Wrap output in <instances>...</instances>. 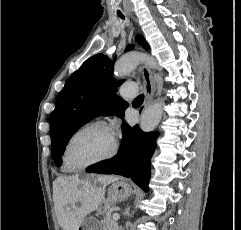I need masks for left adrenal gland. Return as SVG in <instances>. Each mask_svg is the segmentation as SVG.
Masks as SVG:
<instances>
[{
  "label": "left adrenal gland",
  "instance_id": "1",
  "mask_svg": "<svg viewBox=\"0 0 241 230\" xmlns=\"http://www.w3.org/2000/svg\"><path fill=\"white\" fill-rule=\"evenodd\" d=\"M125 215L129 216V207L126 208L125 212H124Z\"/></svg>",
  "mask_w": 241,
  "mask_h": 230
}]
</instances>
